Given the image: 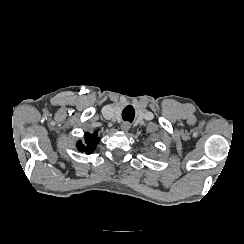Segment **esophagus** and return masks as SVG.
I'll list each match as a JSON object with an SVG mask.
<instances>
[{
	"label": "esophagus",
	"instance_id": "34e87169",
	"mask_svg": "<svg viewBox=\"0 0 244 244\" xmlns=\"http://www.w3.org/2000/svg\"><path fill=\"white\" fill-rule=\"evenodd\" d=\"M130 127H131L130 124L127 123V122H124V123H122V125H121V129H122V131H124V132L129 131Z\"/></svg>",
	"mask_w": 244,
	"mask_h": 244
}]
</instances>
